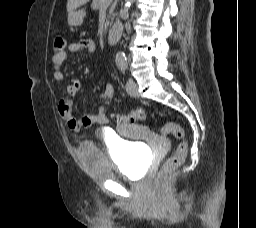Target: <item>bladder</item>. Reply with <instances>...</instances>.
<instances>
[{
    "instance_id": "bladder-1",
    "label": "bladder",
    "mask_w": 256,
    "mask_h": 228,
    "mask_svg": "<svg viewBox=\"0 0 256 228\" xmlns=\"http://www.w3.org/2000/svg\"><path fill=\"white\" fill-rule=\"evenodd\" d=\"M81 158L84 167L100 178L139 179L147 165L144 149L137 143L125 140L113 141L111 153L93 142H86L81 146Z\"/></svg>"
}]
</instances>
